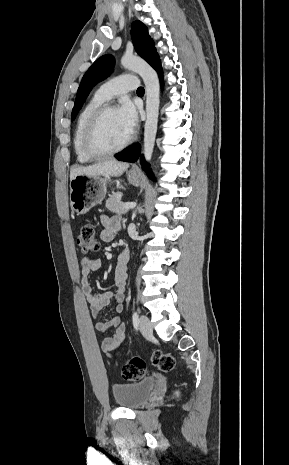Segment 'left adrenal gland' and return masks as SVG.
I'll return each instance as SVG.
<instances>
[{"mask_svg": "<svg viewBox=\"0 0 289 465\" xmlns=\"http://www.w3.org/2000/svg\"><path fill=\"white\" fill-rule=\"evenodd\" d=\"M137 210H139V207L137 208ZM137 210H136V211H135V213L133 214V216H134V217L136 216V212H137Z\"/></svg>", "mask_w": 289, "mask_h": 465, "instance_id": "a2214340", "label": "left adrenal gland"}]
</instances>
